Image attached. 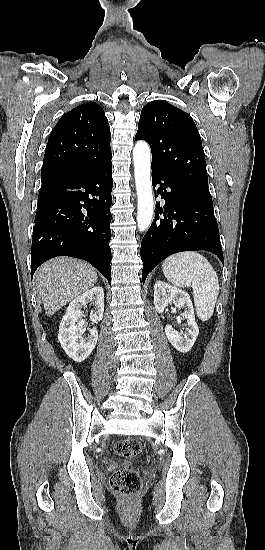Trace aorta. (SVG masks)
I'll return each instance as SVG.
<instances>
[{
	"label": "aorta",
	"mask_w": 265,
	"mask_h": 550,
	"mask_svg": "<svg viewBox=\"0 0 265 550\" xmlns=\"http://www.w3.org/2000/svg\"><path fill=\"white\" fill-rule=\"evenodd\" d=\"M134 174L138 198L137 226L140 232L147 230L153 219L154 201L151 172L150 147L145 141H138L133 149Z\"/></svg>",
	"instance_id": "aorta-1"
}]
</instances>
